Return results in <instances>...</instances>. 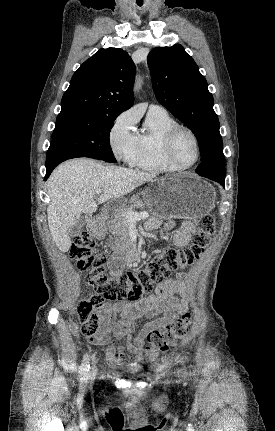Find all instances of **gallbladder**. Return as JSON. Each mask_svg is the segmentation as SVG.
Here are the masks:
<instances>
[{
    "instance_id": "bac80fb5",
    "label": "gallbladder",
    "mask_w": 275,
    "mask_h": 431,
    "mask_svg": "<svg viewBox=\"0 0 275 431\" xmlns=\"http://www.w3.org/2000/svg\"><path fill=\"white\" fill-rule=\"evenodd\" d=\"M90 220L88 216H82L70 229L69 235L75 237L80 234L82 227Z\"/></svg>"
}]
</instances>
